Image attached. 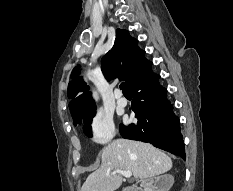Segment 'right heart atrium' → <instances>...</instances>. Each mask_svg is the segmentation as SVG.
Returning <instances> with one entry per match:
<instances>
[{
	"mask_svg": "<svg viewBox=\"0 0 233 191\" xmlns=\"http://www.w3.org/2000/svg\"><path fill=\"white\" fill-rule=\"evenodd\" d=\"M90 139L99 145L108 143L114 136L115 128L112 118L104 113L94 115L88 125Z\"/></svg>",
	"mask_w": 233,
	"mask_h": 191,
	"instance_id": "obj_1",
	"label": "right heart atrium"
}]
</instances>
